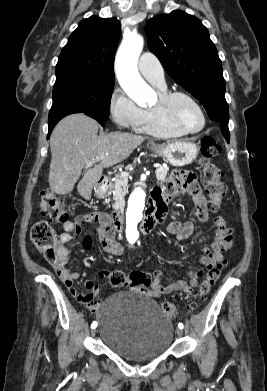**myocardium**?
Returning <instances> with one entry per match:
<instances>
[{"label": "myocardium", "instance_id": "1", "mask_svg": "<svg viewBox=\"0 0 267 391\" xmlns=\"http://www.w3.org/2000/svg\"><path fill=\"white\" fill-rule=\"evenodd\" d=\"M185 99L192 103L200 112L202 116V125L199 129L197 130H188L184 128L173 116L172 113V104L176 99ZM156 111L160 115V117L165 120L167 123H169L172 127L175 129L179 130L183 134H197L202 132L206 125H207V116L206 113L201 106V104L191 95L185 92L181 91H170L166 92L165 94L160 95L159 101L157 105L155 106Z\"/></svg>", "mask_w": 267, "mask_h": 391}]
</instances>
